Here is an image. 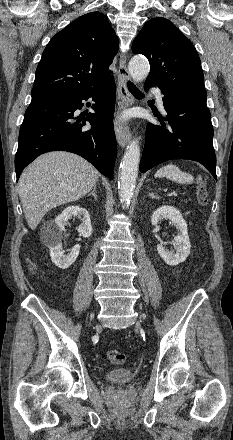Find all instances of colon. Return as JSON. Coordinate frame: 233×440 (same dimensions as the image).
Returning a JSON list of instances; mask_svg holds the SVG:
<instances>
[{
    "label": "colon",
    "instance_id": "5ec220e1",
    "mask_svg": "<svg viewBox=\"0 0 233 440\" xmlns=\"http://www.w3.org/2000/svg\"><path fill=\"white\" fill-rule=\"evenodd\" d=\"M196 197L200 206L205 207L208 205L209 194L204 184L199 183L196 191ZM107 357L112 363L115 364H120L125 361V354L119 350H108Z\"/></svg>",
    "mask_w": 233,
    "mask_h": 440
}]
</instances>
